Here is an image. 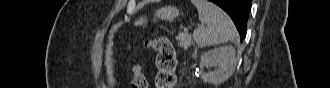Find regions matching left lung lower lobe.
I'll return each instance as SVG.
<instances>
[{"mask_svg":"<svg viewBox=\"0 0 330 88\" xmlns=\"http://www.w3.org/2000/svg\"><path fill=\"white\" fill-rule=\"evenodd\" d=\"M220 6L233 20L241 41L246 36V24L250 11L251 0H210Z\"/></svg>","mask_w":330,"mask_h":88,"instance_id":"1","label":"left lung lower lobe"}]
</instances>
